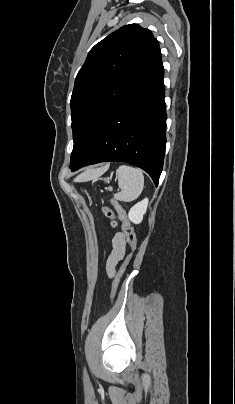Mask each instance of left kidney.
I'll return each mask as SVG.
<instances>
[{"label":"left kidney","mask_w":235,"mask_h":404,"mask_svg":"<svg viewBox=\"0 0 235 404\" xmlns=\"http://www.w3.org/2000/svg\"><path fill=\"white\" fill-rule=\"evenodd\" d=\"M148 199H144L135 204L128 213V218L134 224H139L143 220V215L146 213Z\"/></svg>","instance_id":"left-kidney-1"}]
</instances>
